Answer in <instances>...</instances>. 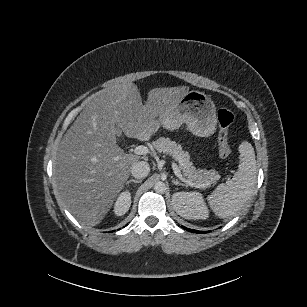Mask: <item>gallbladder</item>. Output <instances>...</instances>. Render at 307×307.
<instances>
[{"mask_svg": "<svg viewBox=\"0 0 307 307\" xmlns=\"http://www.w3.org/2000/svg\"><path fill=\"white\" fill-rule=\"evenodd\" d=\"M112 128H113V130H114V132H115V137H116L117 139H122L123 136H124L122 127H121L117 122H114V123L112 124Z\"/></svg>", "mask_w": 307, "mask_h": 307, "instance_id": "obj_1", "label": "gallbladder"}]
</instances>
